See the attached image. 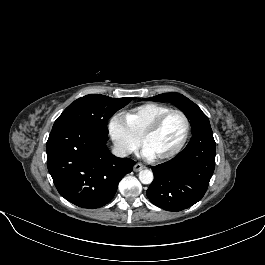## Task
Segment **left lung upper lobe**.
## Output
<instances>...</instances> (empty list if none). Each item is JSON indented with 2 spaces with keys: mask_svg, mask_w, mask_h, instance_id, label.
<instances>
[{
  "mask_svg": "<svg viewBox=\"0 0 265 265\" xmlns=\"http://www.w3.org/2000/svg\"><path fill=\"white\" fill-rule=\"evenodd\" d=\"M148 101L170 102L178 107L188 117L191 123L192 132L203 126L210 125L208 117L191 100L182 94L171 92L163 93L154 97L147 98Z\"/></svg>",
  "mask_w": 265,
  "mask_h": 265,
  "instance_id": "1",
  "label": "left lung upper lobe"
}]
</instances>
